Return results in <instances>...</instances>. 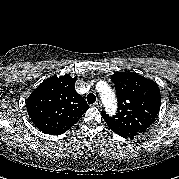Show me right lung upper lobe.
<instances>
[{"mask_svg":"<svg viewBox=\"0 0 179 179\" xmlns=\"http://www.w3.org/2000/svg\"><path fill=\"white\" fill-rule=\"evenodd\" d=\"M77 77L66 74L43 81L28 97L27 112L42 132L60 135L69 130L89 106L75 90Z\"/></svg>","mask_w":179,"mask_h":179,"instance_id":"right-lung-upper-lobe-1","label":"right lung upper lobe"}]
</instances>
